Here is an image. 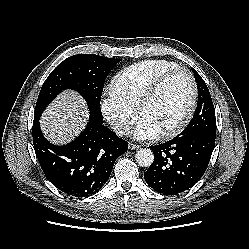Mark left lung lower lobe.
Listing matches in <instances>:
<instances>
[{
    "mask_svg": "<svg viewBox=\"0 0 249 249\" xmlns=\"http://www.w3.org/2000/svg\"><path fill=\"white\" fill-rule=\"evenodd\" d=\"M215 145L208 133L177 135L150 146L154 162L144 173L147 184L159 193L176 195L193 187L203 176Z\"/></svg>",
    "mask_w": 249,
    "mask_h": 249,
    "instance_id": "0a47b994",
    "label": "left lung lower lobe"
}]
</instances>
